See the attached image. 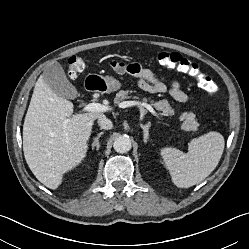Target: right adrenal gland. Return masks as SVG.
I'll use <instances>...</instances> for the list:
<instances>
[{"label": "right adrenal gland", "mask_w": 249, "mask_h": 249, "mask_svg": "<svg viewBox=\"0 0 249 249\" xmlns=\"http://www.w3.org/2000/svg\"><path fill=\"white\" fill-rule=\"evenodd\" d=\"M103 133L104 132H100L99 134H98V136L94 139V141H93V143H92V149H94V147H96V150H98L99 149V139H100V137L103 135Z\"/></svg>", "instance_id": "2a0ac1e0"}]
</instances>
